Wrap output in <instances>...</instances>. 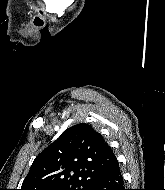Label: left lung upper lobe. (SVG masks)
Listing matches in <instances>:
<instances>
[{"label": "left lung upper lobe", "instance_id": "obj_1", "mask_svg": "<svg viewBox=\"0 0 165 190\" xmlns=\"http://www.w3.org/2000/svg\"><path fill=\"white\" fill-rule=\"evenodd\" d=\"M115 160L103 137L80 123L38 154L20 190H90Z\"/></svg>", "mask_w": 165, "mask_h": 190}]
</instances>
